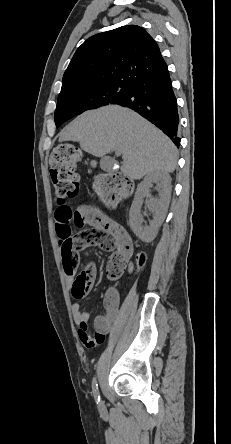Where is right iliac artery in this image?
<instances>
[{
	"instance_id": "1",
	"label": "right iliac artery",
	"mask_w": 231,
	"mask_h": 444,
	"mask_svg": "<svg viewBox=\"0 0 231 444\" xmlns=\"http://www.w3.org/2000/svg\"><path fill=\"white\" fill-rule=\"evenodd\" d=\"M92 389H93L95 400L97 401V403L100 402V395H99V391H98V384H97L96 378H93Z\"/></svg>"
}]
</instances>
